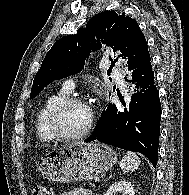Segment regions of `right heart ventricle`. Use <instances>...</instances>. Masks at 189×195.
<instances>
[{
	"instance_id": "right-heart-ventricle-1",
	"label": "right heart ventricle",
	"mask_w": 189,
	"mask_h": 195,
	"mask_svg": "<svg viewBox=\"0 0 189 195\" xmlns=\"http://www.w3.org/2000/svg\"><path fill=\"white\" fill-rule=\"evenodd\" d=\"M68 94L69 92L67 90L61 88L59 91L50 95L38 110L35 117V130L40 141L52 142L56 140L48 128L47 119L53 107L61 100L68 97Z\"/></svg>"
}]
</instances>
